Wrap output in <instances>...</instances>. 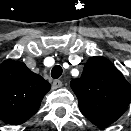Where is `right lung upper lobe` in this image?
I'll return each mask as SVG.
<instances>
[{"label": "right lung upper lobe", "instance_id": "obj_1", "mask_svg": "<svg viewBox=\"0 0 131 131\" xmlns=\"http://www.w3.org/2000/svg\"><path fill=\"white\" fill-rule=\"evenodd\" d=\"M51 85L22 62L0 64V120L18 125L35 114Z\"/></svg>", "mask_w": 131, "mask_h": 131}]
</instances>
